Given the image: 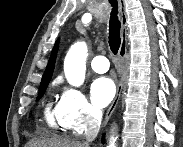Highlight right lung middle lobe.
<instances>
[{
	"label": "right lung middle lobe",
	"instance_id": "dd1d6c3e",
	"mask_svg": "<svg viewBox=\"0 0 183 147\" xmlns=\"http://www.w3.org/2000/svg\"><path fill=\"white\" fill-rule=\"evenodd\" d=\"M46 88H47V86L40 87V89H39V95H38V97H37V100H39V99L42 98V96H43L44 93H45Z\"/></svg>",
	"mask_w": 183,
	"mask_h": 147
}]
</instances>
